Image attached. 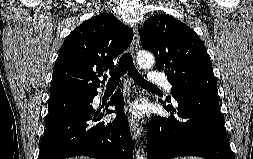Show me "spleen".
I'll return each instance as SVG.
<instances>
[{"mask_svg": "<svg viewBox=\"0 0 253 159\" xmlns=\"http://www.w3.org/2000/svg\"><path fill=\"white\" fill-rule=\"evenodd\" d=\"M180 159H202V158L196 156H188V157H181Z\"/></svg>", "mask_w": 253, "mask_h": 159, "instance_id": "obj_1", "label": "spleen"}]
</instances>
